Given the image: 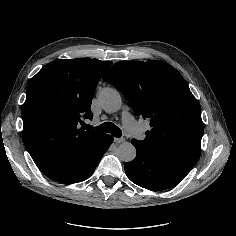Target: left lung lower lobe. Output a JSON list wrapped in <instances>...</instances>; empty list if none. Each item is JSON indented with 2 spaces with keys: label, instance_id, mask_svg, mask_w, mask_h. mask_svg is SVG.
<instances>
[{
  "label": "left lung lower lobe",
  "instance_id": "1",
  "mask_svg": "<svg viewBox=\"0 0 236 236\" xmlns=\"http://www.w3.org/2000/svg\"><path fill=\"white\" fill-rule=\"evenodd\" d=\"M137 154L134 160L126 162L125 172L136 185L150 190H165L180 183L188 170L174 160L142 146L132 140Z\"/></svg>",
  "mask_w": 236,
  "mask_h": 236
}]
</instances>
